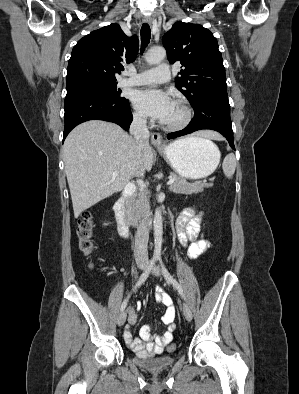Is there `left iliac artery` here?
Wrapping results in <instances>:
<instances>
[{"mask_svg":"<svg viewBox=\"0 0 299 394\" xmlns=\"http://www.w3.org/2000/svg\"><path fill=\"white\" fill-rule=\"evenodd\" d=\"M158 261H159V263H160V266H161V268H162V271H163V273H164V276H165L166 280H167L169 283L173 284V286L178 290V292L181 294V296L184 297V293H183V290H182L181 285L177 282L176 279H174V278L171 276V274L169 273V271H168L167 268L165 267V265H164V263H163V261H162V258H161L160 256L158 257Z\"/></svg>","mask_w":299,"mask_h":394,"instance_id":"obj_1","label":"left iliac artery"}]
</instances>
